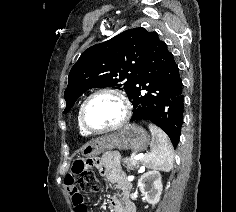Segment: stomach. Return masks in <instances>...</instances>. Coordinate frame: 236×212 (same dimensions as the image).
Instances as JSON below:
<instances>
[{
  "instance_id": "0dacf381",
  "label": "stomach",
  "mask_w": 236,
  "mask_h": 212,
  "mask_svg": "<svg viewBox=\"0 0 236 212\" xmlns=\"http://www.w3.org/2000/svg\"><path fill=\"white\" fill-rule=\"evenodd\" d=\"M149 141V136L142 127L128 124L115 133L90 141L81 148V153L86 158H92L113 149L143 151L147 148Z\"/></svg>"
}]
</instances>
